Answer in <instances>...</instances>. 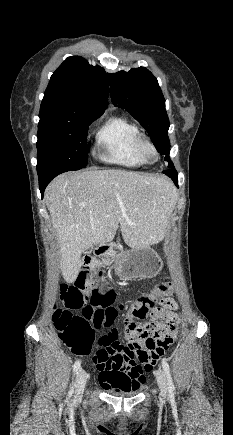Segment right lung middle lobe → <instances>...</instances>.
<instances>
[{
  "label": "right lung middle lobe",
  "instance_id": "1",
  "mask_svg": "<svg viewBox=\"0 0 233 435\" xmlns=\"http://www.w3.org/2000/svg\"><path fill=\"white\" fill-rule=\"evenodd\" d=\"M99 116L40 118L37 141V172L74 171L87 165V130Z\"/></svg>",
  "mask_w": 233,
  "mask_h": 435
}]
</instances>
